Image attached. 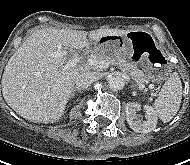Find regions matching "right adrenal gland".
I'll list each match as a JSON object with an SVG mask.
<instances>
[{
  "label": "right adrenal gland",
  "mask_w": 190,
  "mask_h": 165,
  "mask_svg": "<svg viewBox=\"0 0 190 165\" xmlns=\"http://www.w3.org/2000/svg\"><path fill=\"white\" fill-rule=\"evenodd\" d=\"M75 92H81V90H79V89H77V88H74L73 91H72V94H71V98L74 97Z\"/></svg>",
  "instance_id": "right-adrenal-gland-1"
}]
</instances>
